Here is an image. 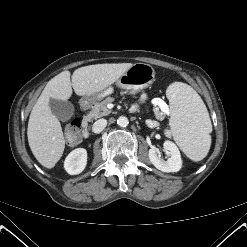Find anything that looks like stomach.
<instances>
[{"mask_svg":"<svg viewBox=\"0 0 247 247\" xmlns=\"http://www.w3.org/2000/svg\"><path fill=\"white\" fill-rule=\"evenodd\" d=\"M155 80L154 69L144 63H138L130 67L124 74L117 80V85L120 88L137 91L148 87ZM110 88L98 92L93 100L99 99L109 93ZM90 100V99H89Z\"/></svg>","mask_w":247,"mask_h":247,"instance_id":"stomach-1","label":"stomach"}]
</instances>
